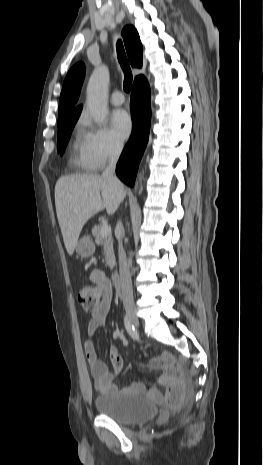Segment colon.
Returning a JSON list of instances; mask_svg holds the SVG:
<instances>
[{
  "label": "colon",
  "mask_w": 263,
  "mask_h": 465,
  "mask_svg": "<svg viewBox=\"0 0 263 465\" xmlns=\"http://www.w3.org/2000/svg\"><path fill=\"white\" fill-rule=\"evenodd\" d=\"M102 297L103 291L98 286L84 285L78 291V300L86 310L93 309Z\"/></svg>",
  "instance_id": "5ec220e1"
}]
</instances>
